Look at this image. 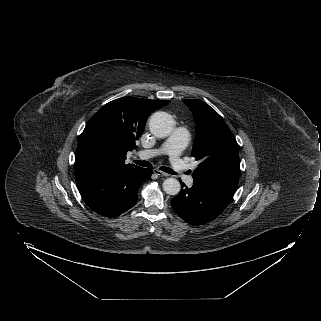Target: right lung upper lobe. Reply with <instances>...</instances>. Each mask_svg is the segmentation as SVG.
Wrapping results in <instances>:
<instances>
[{
    "label": "right lung upper lobe",
    "mask_w": 321,
    "mask_h": 321,
    "mask_svg": "<svg viewBox=\"0 0 321 321\" xmlns=\"http://www.w3.org/2000/svg\"><path fill=\"white\" fill-rule=\"evenodd\" d=\"M170 101L123 97L104 105L88 121L75 154V179L80 181L104 171H123L138 166L125 164L126 153L136 147L148 115ZM89 148L100 152L87 161L82 156Z\"/></svg>",
    "instance_id": "1"
}]
</instances>
